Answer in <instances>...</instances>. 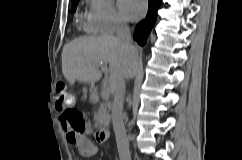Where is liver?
Instances as JSON below:
<instances>
[{
    "label": "liver",
    "mask_w": 242,
    "mask_h": 160,
    "mask_svg": "<svg viewBox=\"0 0 242 160\" xmlns=\"http://www.w3.org/2000/svg\"><path fill=\"white\" fill-rule=\"evenodd\" d=\"M124 52L125 48L114 36L77 38L65 45L62 50L63 75L71 85L76 80L93 85L102 77V71L98 66L109 64L108 83L110 91L114 92ZM137 52L139 60V51Z\"/></svg>",
    "instance_id": "obj_1"
}]
</instances>
